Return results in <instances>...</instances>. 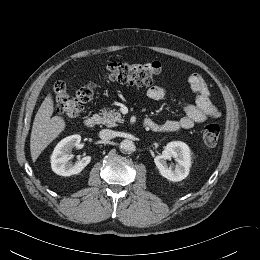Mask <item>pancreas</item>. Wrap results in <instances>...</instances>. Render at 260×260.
Listing matches in <instances>:
<instances>
[{
	"mask_svg": "<svg viewBox=\"0 0 260 260\" xmlns=\"http://www.w3.org/2000/svg\"><path fill=\"white\" fill-rule=\"evenodd\" d=\"M98 123H101L107 127H115L117 123H123L124 119L121 114L115 110L103 109L99 114Z\"/></svg>",
	"mask_w": 260,
	"mask_h": 260,
	"instance_id": "obj_1",
	"label": "pancreas"
}]
</instances>
